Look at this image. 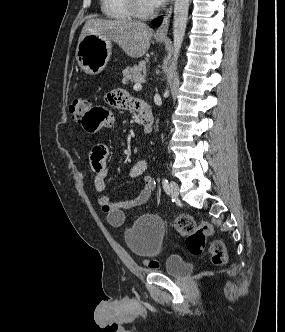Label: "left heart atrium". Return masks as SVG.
Listing matches in <instances>:
<instances>
[{
  "instance_id": "left-heart-atrium-1",
  "label": "left heart atrium",
  "mask_w": 285,
  "mask_h": 332,
  "mask_svg": "<svg viewBox=\"0 0 285 332\" xmlns=\"http://www.w3.org/2000/svg\"><path fill=\"white\" fill-rule=\"evenodd\" d=\"M149 2L151 6L155 8L163 5L166 2V0H149Z\"/></svg>"
}]
</instances>
